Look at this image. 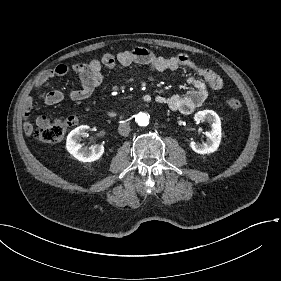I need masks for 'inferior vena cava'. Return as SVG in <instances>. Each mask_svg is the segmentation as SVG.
Segmentation results:
<instances>
[{
    "mask_svg": "<svg viewBox=\"0 0 281 281\" xmlns=\"http://www.w3.org/2000/svg\"><path fill=\"white\" fill-rule=\"evenodd\" d=\"M118 132L122 136H128L130 132V126L128 123H121L118 127Z\"/></svg>",
    "mask_w": 281,
    "mask_h": 281,
    "instance_id": "obj_1",
    "label": "inferior vena cava"
}]
</instances>
